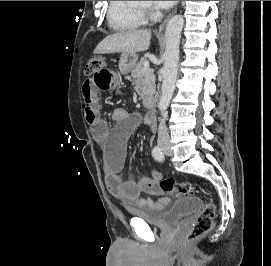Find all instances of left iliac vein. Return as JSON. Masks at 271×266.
<instances>
[{
  "label": "left iliac vein",
  "instance_id": "4c4485c4",
  "mask_svg": "<svg viewBox=\"0 0 271 266\" xmlns=\"http://www.w3.org/2000/svg\"><path fill=\"white\" fill-rule=\"evenodd\" d=\"M163 152H164V154L167 155V156L172 155V149H171V147L169 146V144H166V145L163 147Z\"/></svg>",
  "mask_w": 271,
  "mask_h": 266
}]
</instances>
